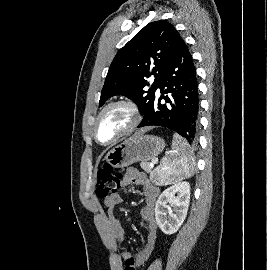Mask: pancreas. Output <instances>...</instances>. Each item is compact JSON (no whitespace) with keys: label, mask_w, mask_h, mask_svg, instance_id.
<instances>
[{"label":"pancreas","mask_w":267,"mask_h":270,"mask_svg":"<svg viewBox=\"0 0 267 270\" xmlns=\"http://www.w3.org/2000/svg\"><path fill=\"white\" fill-rule=\"evenodd\" d=\"M140 166L144 171L150 173V179L152 180V182H154L155 184H159L160 178L157 174V168L152 169V167L147 162H141Z\"/></svg>","instance_id":"1"}]
</instances>
